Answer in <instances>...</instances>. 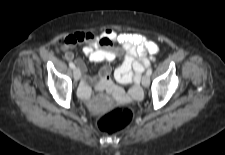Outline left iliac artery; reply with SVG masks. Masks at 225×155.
I'll list each match as a JSON object with an SVG mask.
<instances>
[{"mask_svg":"<svg viewBox=\"0 0 225 155\" xmlns=\"http://www.w3.org/2000/svg\"><path fill=\"white\" fill-rule=\"evenodd\" d=\"M152 74V68H149L148 70H147V75H151Z\"/></svg>","mask_w":225,"mask_h":155,"instance_id":"left-iliac-artery-1","label":"left iliac artery"}]
</instances>
